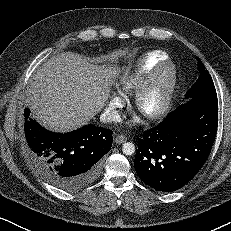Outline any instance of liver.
<instances>
[{"instance_id":"1","label":"liver","mask_w":231,"mask_h":231,"mask_svg":"<svg viewBox=\"0 0 231 231\" xmlns=\"http://www.w3.org/2000/svg\"><path fill=\"white\" fill-rule=\"evenodd\" d=\"M115 67L94 65L73 52L54 55L36 70L29 106L43 126L67 132L88 123L104 106Z\"/></svg>"}]
</instances>
